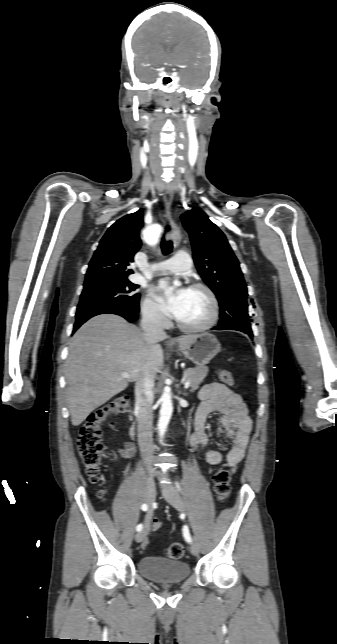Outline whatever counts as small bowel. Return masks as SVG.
Returning <instances> with one entry per match:
<instances>
[{"mask_svg":"<svg viewBox=\"0 0 337 644\" xmlns=\"http://www.w3.org/2000/svg\"><path fill=\"white\" fill-rule=\"evenodd\" d=\"M201 403L195 416V431L190 437L193 448H205V458L213 466L223 462L229 464L235 471L243 460L252 430V420L249 417L246 404L240 395L220 383H211L202 387L199 392ZM220 413L221 418L218 428L219 439L225 443L231 442L232 448L226 453H221L209 446V436L206 431V421L210 414ZM123 458L129 459L134 454L131 445L126 444L120 450ZM145 527L156 531L161 527L160 521L151 513L145 517ZM148 545L145 537L142 546Z\"/></svg>","mask_w":337,"mask_h":644,"instance_id":"small-bowel-1","label":"small bowel"}]
</instances>
